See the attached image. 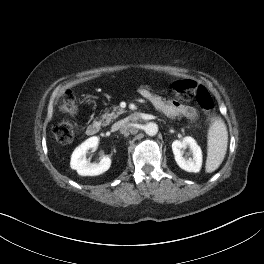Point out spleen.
Returning <instances> with one entry per match:
<instances>
[{
    "instance_id": "1",
    "label": "spleen",
    "mask_w": 264,
    "mask_h": 264,
    "mask_svg": "<svg viewBox=\"0 0 264 264\" xmlns=\"http://www.w3.org/2000/svg\"><path fill=\"white\" fill-rule=\"evenodd\" d=\"M228 145V132L224 121L217 118L213 121L208 132L207 160L205 170L212 173L224 160Z\"/></svg>"
}]
</instances>
